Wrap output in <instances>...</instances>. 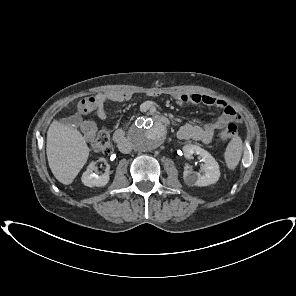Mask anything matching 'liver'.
Returning a JSON list of instances; mask_svg holds the SVG:
<instances>
[{
    "instance_id": "liver-1",
    "label": "liver",
    "mask_w": 296,
    "mask_h": 296,
    "mask_svg": "<svg viewBox=\"0 0 296 296\" xmlns=\"http://www.w3.org/2000/svg\"><path fill=\"white\" fill-rule=\"evenodd\" d=\"M46 154L55 178L69 185L87 162L89 148L77 129L54 120L47 131Z\"/></svg>"
}]
</instances>
